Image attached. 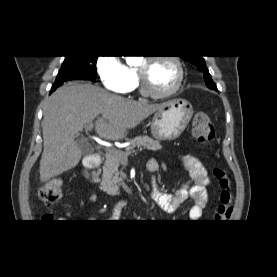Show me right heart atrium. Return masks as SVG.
<instances>
[{
  "mask_svg": "<svg viewBox=\"0 0 277 277\" xmlns=\"http://www.w3.org/2000/svg\"><path fill=\"white\" fill-rule=\"evenodd\" d=\"M96 68L106 89L117 93H126L131 89L133 76L130 68L120 59L119 55L111 53L99 56Z\"/></svg>",
  "mask_w": 277,
  "mask_h": 277,
  "instance_id": "d8ad5b80",
  "label": "right heart atrium"
}]
</instances>
